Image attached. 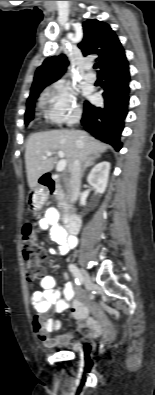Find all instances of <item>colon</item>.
I'll list each match as a JSON object with an SVG mask.
<instances>
[{
  "label": "colon",
  "mask_w": 155,
  "mask_h": 395,
  "mask_svg": "<svg viewBox=\"0 0 155 395\" xmlns=\"http://www.w3.org/2000/svg\"><path fill=\"white\" fill-rule=\"evenodd\" d=\"M22 252L25 261V277L30 285L36 283L44 274L43 262L46 259L42 244L37 238L31 224H26L22 231Z\"/></svg>",
  "instance_id": "5ec220e1"
}]
</instances>
